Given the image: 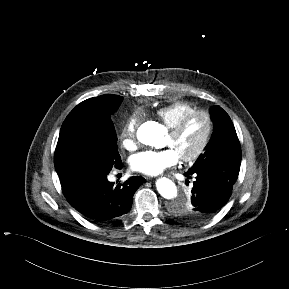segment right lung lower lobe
<instances>
[{
  "instance_id": "1",
  "label": "right lung lower lobe",
  "mask_w": 289,
  "mask_h": 289,
  "mask_svg": "<svg viewBox=\"0 0 289 289\" xmlns=\"http://www.w3.org/2000/svg\"><path fill=\"white\" fill-rule=\"evenodd\" d=\"M121 167V163L116 165ZM109 172L78 171L60 176L63 194L72 207L93 222H107L128 213L133 195L145 182L131 177L122 185L107 180Z\"/></svg>"
}]
</instances>
